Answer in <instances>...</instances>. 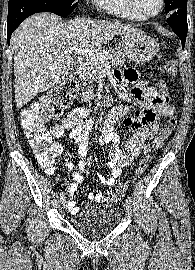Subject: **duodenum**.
Returning <instances> with one entry per match:
<instances>
[{"label":"duodenum","mask_w":195,"mask_h":270,"mask_svg":"<svg viewBox=\"0 0 195 270\" xmlns=\"http://www.w3.org/2000/svg\"><path fill=\"white\" fill-rule=\"evenodd\" d=\"M82 70H83L82 65H79V66L77 67V74L80 75V74L82 73ZM82 98H83L84 100L90 99V98H91V93H90L89 91H83V92H82Z\"/></svg>","instance_id":"duodenum-1"}]
</instances>
